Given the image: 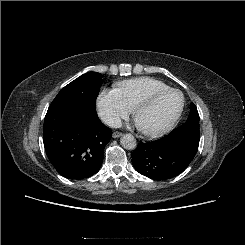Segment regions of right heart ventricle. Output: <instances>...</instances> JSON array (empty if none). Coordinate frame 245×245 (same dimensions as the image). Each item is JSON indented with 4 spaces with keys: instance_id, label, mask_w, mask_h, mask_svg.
Instances as JSON below:
<instances>
[{
    "instance_id": "obj_1",
    "label": "right heart ventricle",
    "mask_w": 245,
    "mask_h": 245,
    "mask_svg": "<svg viewBox=\"0 0 245 245\" xmlns=\"http://www.w3.org/2000/svg\"><path fill=\"white\" fill-rule=\"evenodd\" d=\"M167 88L166 83L152 77H136L115 84V90L130 108L143 96Z\"/></svg>"
}]
</instances>
